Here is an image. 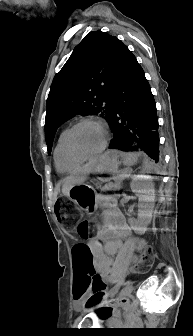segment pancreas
Returning <instances> with one entry per match:
<instances>
[{"mask_svg":"<svg viewBox=\"0 0 193 336\" xmlns=\"http://www.w3.org/2000/svg\"><path fill=\"white\" fill-rule=\"evenodd\" d=\"M119 179L115 183H108L107 185L102 187V194L104 196L101 197V206L103 209L108 211H115L117 209V198L112 196L111 192L116 189V186H119Z\"/></svg>","mask_w":193,"mask_h":336,"instance_id":"1","label":"pancreas"}]
</instances>
